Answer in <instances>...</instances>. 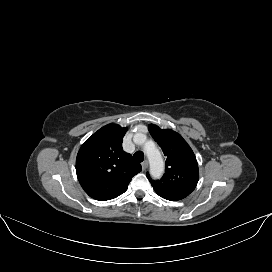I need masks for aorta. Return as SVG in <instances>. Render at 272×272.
Listing matches in <instances>:
<instances>
[{"label":"aorta","mask_w":272,"mask_h":272,"mask_svg":"<svg viewBox=\"0 0 272 272\" xmlns=\"http://www.w3.org/2000/svg\"><path fill=\"white\" fill-rule=\"evenodd\" d=\"M144 152L150 163V174L152 177L159 179L164 172V162L161 152L151 141L145 143Z\"/></svg>","instance_id":"aorta-1"}]
</instances>
